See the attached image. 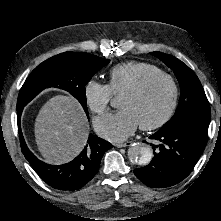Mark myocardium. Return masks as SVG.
Instances as JSON below:
<instances>
[{
  "instance_id": "obj_1",
  "label": "myocardium",
  "mask_w": 221,
  "mask_h": 221,
  "mask_svg": "<svg viewBox=\"0 0 221 221\" xmlns=\"http://www.w3.org/2000/svg\"><path fill=\"white\" fill-rule=\"evenodd\" d=\"M157 79H164L169 83L171 87V99H170V103L166 112L163 114L161 118H159L158 120L152 123L140 124V128L144 131L155 130L164 126L173 116L176 110V107L178 104V98H179V89H178V85L175 79L170 74L159 71V72L147 75L142 80H140L137 84H135L134 86H132L131 88L123 92V94H128L132 96L140 95L148 88L150 84H152Z\"/></svg>"
}]
</instances>
